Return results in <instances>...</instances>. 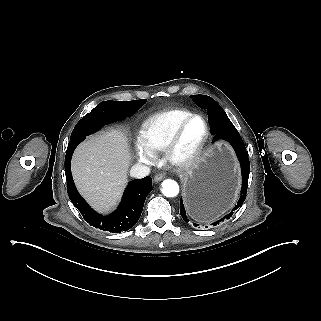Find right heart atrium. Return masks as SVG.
Returning <instances> with one entry per match:
<instances>
[{"label":"right heart atrium","instance_id":"right-heart-atrium-1","mask_svg":"<svg viewBox=\"0 0 321 321\" xmlns=\"http://www.w3.org/2000/svg\"><path fill=\"white\" fill-rule=\"evenodd\" d=\"M135 156L144 166H152L156 162V154L144 144L140 137L135 141Z\"/></svg>","mask_w":321,"mask_h":321}]
</instances>
